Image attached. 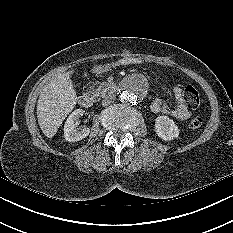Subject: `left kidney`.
<instances>
[{"mask_svg": "<svg viewBox=\"0 0 233 233\" xmlns=\"http://www.w3.org/2000/svg\"><path fill=\"white\" fill-rule=\"evenodd\" d=\"M155 132L165 141L173 140L179 136V129L175 122L168 116H158L155 119Z\"/></svg>", "mask_w": 233, "mask_h": 233, "instance_id": "left-kidney-1", "label": "left kidney"}]
</instances>
